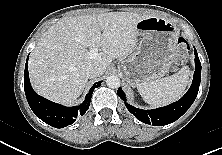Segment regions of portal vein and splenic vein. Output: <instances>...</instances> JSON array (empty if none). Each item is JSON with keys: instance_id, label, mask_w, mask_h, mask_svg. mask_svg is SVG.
Segmentation results:
<instances>
[{"instance_id": "obj_1", "label": "portal vein and splenic vein", "mask_w": 222, "mask_h": 155, "mask_svg": "<svg viewBox=\"0 0 222 155\" xmlns=\"http://www.w3.org/2000/svg\"><path fill=\"white\" fill-rule=\"evenodd\" d=\"M87 57L90 59H97L99 58L98 49L96 47L91 48L89 52H87Z\"/></svg>"}]
</instances>
